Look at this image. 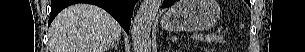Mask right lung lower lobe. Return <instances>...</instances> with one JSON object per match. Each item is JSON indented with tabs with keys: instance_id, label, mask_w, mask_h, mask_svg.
Instances as JSON below:
<instances>
[{
	"instance_id": "1",
	"label": "right lung lower lobe",
	"mask_w": 305,
	"mask_h": 52,
	"mask_svg": "<svg viewBox=\"0 0 305 52\" xmlns=\"http://www.w3.org/2000/svg\"><path fill=\"white\" fill-rule=\"evenodd\" d=\"M137 0H51V13L48 25L56 15L72 4L89 3L97 5L110 13L128 33L134 4Z\"/></svg>"
}]
</instances>
